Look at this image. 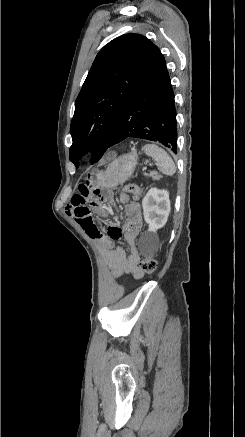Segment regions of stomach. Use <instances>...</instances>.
Masks as SVG:
<instances>
[{
  "instance_id": "stomach-1",
  "label": "stomach",
  "mask_w": 245,
  "mask_h": 437,
  "mask_svg": "<svg viewBox=\"0 0 245 437\" xmlns=\"http://www.w3.org/2000/svg\"><path fill=\"white\" fill-rule=\"evenodd\" d=\"M138 156L135 152L125 154L114 160L104 173L91 176L93 186L114 188L124 183L134 172Z\"/></svg>"
}]
</instances>
